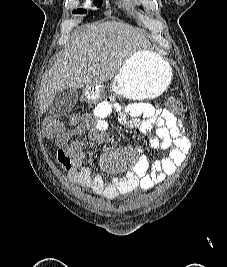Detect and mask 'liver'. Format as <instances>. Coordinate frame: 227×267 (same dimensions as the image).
<instances>
[{
    "label": "liver",
    "instance_id": "liver-1",
    "mask_svg": "<svg viewBox=\"0 0 227 267\" xmlns=\"http://www.w3.org/2000/svg\"><path fill=\"white\" fill-rule=\"evenodd\" d=\"M147 44L146 37L126 23L109 21L88 26L70 41L44 75L40 112H46L55 95L65 88L100 85L112 79Z\"/></svg>",
    "mask_w": 227,
    "mask_h": 267
}]
</instances>
